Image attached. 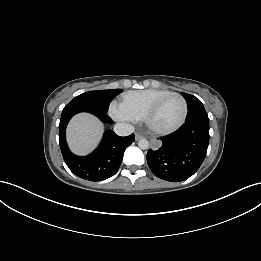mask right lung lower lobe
Segmentation results:
<instances>
[{
    "mask_svg": "<svg viewBox=\"0 0 261 261\" xmlns=\"http://www.w3.org/2000/svg\"><path fill=\"white\" fill-rule=\"evenodd\" d=\"M82 112L78 109L62 111L59 124V143L65 163L78 177L89 181L105 180L116 173L125 149L134 141V134L120 137L113 131L107 130L97 149L85 157L74 155L68 148L65 131L73 115ZM103 122L111 123V119L103 113H92Z\"/></svg>",
    "mask_w": 261,
    "mask_h": 261,
    "instance_id": "right-lung-lower-lobe-1",
    "label": "right lung lower lobe"
}]
</instances>
